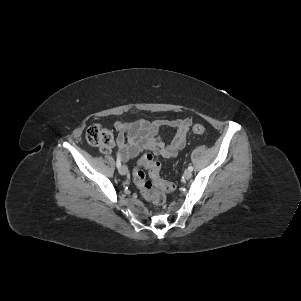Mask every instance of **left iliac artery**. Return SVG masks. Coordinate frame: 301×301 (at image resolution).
<instances>
[{"label":"left iliac artery","instance_id":"44dca946","mask_svg":"<svg viewBox=\"0 0 301 301\" xmlns=\"http://www.w3.org/2000/svg\"><path fill=\"white\" fill-rule=\"evenodd\" d=\"M188 170H189V171H193V167H192V166H189V167H188Z\"/></svg>","mask_w":301,"mask_h":301}]
</instances>
